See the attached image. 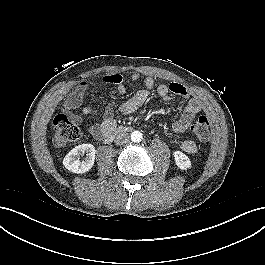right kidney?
<instances>
[{
  "label": "right kidney",
  "mask_w": 265,
  "mask_h": 265,
  "mask_svg": "<svg viewBox=\"0 0 265 265\" xmlns=\"http://www.w3.org/2000/svg\"><path fill=\"white\" fill-rule=\"evenodd\" d=\"M86 154V157L80 160V155ZM96 150L92 144H81L74 147L63 159V165L70 172L85 173L89 171L95 161Z\"/></svg>",
  "instance_id": "1"
}]
</instances>
